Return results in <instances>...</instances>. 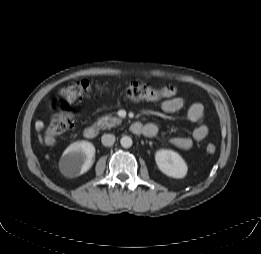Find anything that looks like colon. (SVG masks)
<instances>
[{
    "label": "colon",
    "mask_w": 261,
    "mask_h": 254,
    "mask_svg": "<svg viewBox=\"0 0 261 254\" xmlns=\"http://www.w3.org/2000/svg\"><path fill=\"white\" fill-rule=\"evenodd\" d=\"M93 90L94 86L88 80L80 79L66 86L61 91V95L67 103L72 104L82 101ZM176 92V89L171 85L154 88L140 82H131L124 89L125 96L130 99H144L149 101L169 99L174 97ZM74 123V117L70 113H61L54 116L45 129V139L52 141L57 136L71 130L74 127ZM216 150V146L212 143H208L205 147V151L209 155L214 154Z\"/></svg>",
    "instance_id": "colon-1"
}]
</instances>
